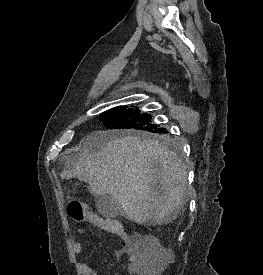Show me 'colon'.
I'll return each mask as SVG.
<instances>
[{"instance_id":"1","label":"colon","mask_w":263,"mask_h":275,"mask_svg":"<svg viewBox=\"0 0 263 275\" xmlns=\"http://www.w3.org/2000/svg\"><path fill=\"white\" fill-rule=\"evenodd\" d=\"M68 214L76 222L95 223L100 219L97 215L90 212L87 207L80 202H72L68 205ZM106 231L128 240L123 225L118 221H109L106 224ZM164 263V253L161 249H152L146 256V275H156L159 267Z\"/></svg>"}]
</instances>
